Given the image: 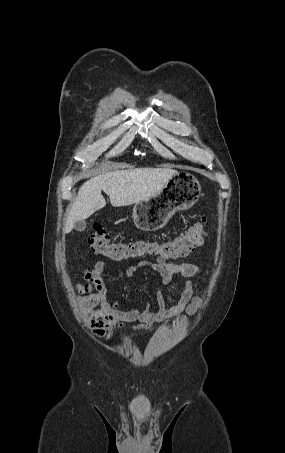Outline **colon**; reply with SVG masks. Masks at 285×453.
Segmentation results:
<instances>
[{
    "label": "colon",
    "instance_id": "colon-1",
    "mask_svg": "<svg viewBox=\"0 0 285 453\" xmlns=\"http://www.w3.org/2000/svg\"><path fill=\"white\" fill-rule=\"evenodd\" d=\"M207 218L174 237L164 240H131L128 242L111 241L108 233L101 225H94L88 242L94 254L108 257L113 261H123L141 257L162 260H173L186 257L200 247L206 237Z\"/></svg>",
    "mask_w": 285,
    "mask_h": 453
}]
</instances>
